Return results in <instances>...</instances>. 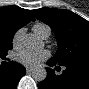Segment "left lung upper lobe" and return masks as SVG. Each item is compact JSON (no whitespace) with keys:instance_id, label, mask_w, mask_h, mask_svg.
Listing matches in <instances>:
<instances>
[{"instance_id":"5c2ea615","label":"left lung upper lobe","mask_w":89,"mask_h":89,"mask_svg":"<svg viewBox=\"0 0 89 89\" xmlns=\"http://www.w3.org/2000/svg\"><path fill=\"white\" fill-rule=\"evenodd\" d=\"M34 16L49 25L58 42L54 63L66 66L89 64V22L81 16L56 8L32 10Z\"/></svg>"}]
</instances>
